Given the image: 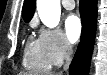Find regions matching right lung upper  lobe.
I'll return each instance as SVG.
<instances>
[{"label": "right lung upper lobe", "mask_w": 107, "mask_h": 75, "mask_svg": "<svg viewBox=\"0 0 107 75\" xmlns=\"http://www.w3.org/2000/svg\"><path fill=\"white\" fill-rule=\"evenodd\" d=\"M35 0H25L23 9H22V16L25 22H29L30 19L33 17L35 11Z\"/></svg>", "instance_id": "right-lung-upper-lobe-1"}]
</instances>
